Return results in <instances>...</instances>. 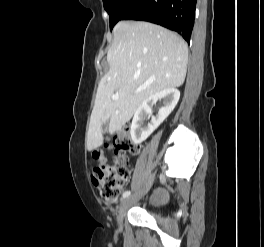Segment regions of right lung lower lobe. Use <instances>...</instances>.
Returning <instances> with one entry per match:
<instances>
[{
  "mask_svg": "<svg viewBox=\"0 0 264 247\" xmlns=\"http://www.w3.org/2000/svg\"><path fill=\"white\" fill-rule=\"evenodd\" d=\"M196 0H133L120 20H140L159 24L190 41Z\"/></svg>",
  "mask_w": 264,
  "mask_h": 247,
  "instance_id": "1",
  "label": "right lung lower lobe"
}]
</instances>
